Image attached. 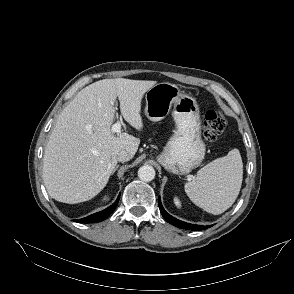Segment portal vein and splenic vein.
I'll return each instance as SVG.
<instances>
[{
	"label": "portal vein and splenic vein",
	"instance_id": "portal-vein-and-splenic-vein-1",
	"mask_svg": "<svg viewBox=\"0 0 294 294\" xmlns=\"http://www.w3.org/2000/svg\"><path fill=\"white\" fill-rule=\"evenodd\" d=\"M111 130L113 133H119L121 130V122L117 121L115 124H113Z\"/></svg>",
	"mask_w": 294,
	"mask_h": 294
}]
</instances>
